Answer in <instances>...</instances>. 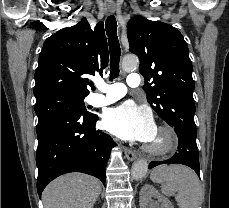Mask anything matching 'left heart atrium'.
<instances>
[{
  "mask_svg": "<svg viewBox=\"0 0 229 208\" xmlns=\"http://www.w3.org/2000/svg\"><path fill=\"white\" fill-rule=\"evenodd\" d=\"M102 124L106 130L124 140L148 142L156 132L151 111L133 101L108 109Z\"/></svg>",
  "mask_w": 229,
  "mask_h": 208,
  "instance_id": "obj_1",
  "label": "left heart atrium"
}]
</instances>
